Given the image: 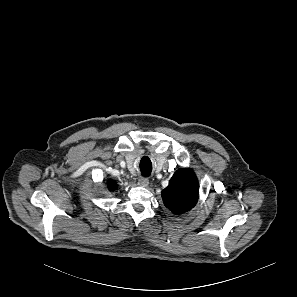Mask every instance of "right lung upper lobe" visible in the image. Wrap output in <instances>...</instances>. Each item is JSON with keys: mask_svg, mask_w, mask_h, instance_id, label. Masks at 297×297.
Returning a JSON list of instances; mask_svg holds the SVG:
<instances>
[{"mask_svg": "<svg viewBox=\"0 0 297 297\" xmlns=\"http://www.w3.org/2000/svg\"><path fill=\"white\" fill-rule=\"evenodd\" d=\"M109 187H110L111 189H115V187H116V183L113 182V181H111L110 184H109Z\"/></svg>", "mask_w": 297, "mask_h": 297, "instance_id": "1", "label": "right lung upper lobe"}]
</instances>
